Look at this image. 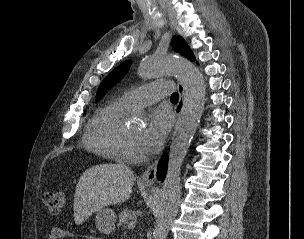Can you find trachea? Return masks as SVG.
<instances>
[{"instance_id": "1", "label": "trachea", "mask_w": 304, "mask_h": 239, "mask_svg": "<svg viewBox=\"0 0 304 239\" xmlns=\"http://www.w3.org/2000/svg\"><path fill=\"white\" fill-rule=\"evenodd\" d=\"M178 99H179V94L178 93L175 92L171 95V101L177 102Z\"/></svg>"}]
</instances>
